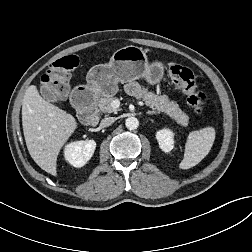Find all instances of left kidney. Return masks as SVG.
Listing matches in <instances>:
<instances>
[{"label":"left kidney","mask_w":252,"mask_h":252,"mask_svg":"<svg viewBox=\"0 0 252 252\" xmlns=\"http://www.w3.org/2000/svg\"><path fill=\"white\" fill-rule=\"evenodd\" d=\"M160 148L164 152H170L174 148V134L169 129H162L156 133Z\"/></svg>","instance_id":"left-kidney-1"}]
</instances>
